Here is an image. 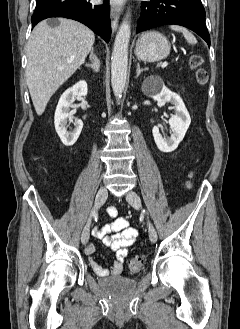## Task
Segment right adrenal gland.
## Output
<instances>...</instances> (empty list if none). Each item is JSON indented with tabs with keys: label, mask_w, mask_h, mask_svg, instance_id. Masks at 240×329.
I'll list each match as a JSON object with an SVG mask.
<instances>
[{
	"label": "right adrenal gland",
	"mask_w": 240,
	"mask_h": 329,
	"mask_svg": "<svg viewBox=\"0 0 240 329\" xmlns=\"http://www.w3.org/2000/svg\"><path fill=\"white\" fill-rule=\"evenodd\" d=\"M90 60L92 61V63L86 64V67L93 69L94 72H98L100 70V60L98 59L97 55L94 53L93 48L91 49Z\"/></svg>",
	"instance_id": "right-adrenal-gland-1"
}]
</instances>
